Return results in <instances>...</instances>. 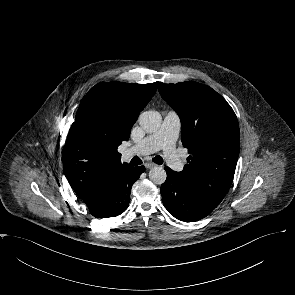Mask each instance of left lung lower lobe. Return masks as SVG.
Wrapping results in <instances>:
<instances>
[{"mask_svg":"<svg viewBox=\"0 0 295 295\" xmlns=\"http://www.w3.org/2000/svg\"><path fill=\"white\" fill-rule=\"evenodd\" d=\"M167 179L161 185L162 201L166 209L178 220L198 221L209 215L215 207L203 201L182 181L178 172L165 167Z\"/></svg>","mask_w":295,"mask_h":295,"instance_id":"1","label":"left lung lower lobe"}]
</instances>
